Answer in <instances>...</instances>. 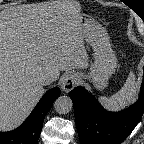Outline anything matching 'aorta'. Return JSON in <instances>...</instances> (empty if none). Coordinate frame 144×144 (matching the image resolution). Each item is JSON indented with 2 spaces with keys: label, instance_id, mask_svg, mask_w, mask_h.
Segmentation results:
<instances>
[{
  "label": "aorta",
  "instance_id": "762f6f07",
  "mask_svg": "<svg viewBox=\"0 0 144 144\" xmlns=\"http://www.w3.org/2000/svg\"><path fill=\"white\" fill-rule=\"evenodd\" d=\"M73 108V103L70 97L60 96L54 102V109L59 114H67Z\"/></svg>",
  "mask_w": 144,
  "mask_h": 144
}]
</instances>
